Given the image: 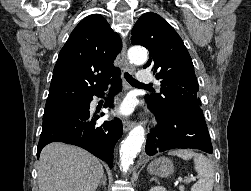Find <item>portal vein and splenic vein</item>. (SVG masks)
Segmentation results:
<instances>
[{
    "label": "portal vein and splenic vein",
    "instance_id": "1",
    "mask_svg": "<svg viewBox=\"0 0 251 191\" xmlns=\"http://www.w3.org/2000/svg\"><path fill=\"white\" fill-rule=\"evenodd\" d=\"M178 181H183V179H178ZM187 181H190V179H187ZM191 181H192V182H195V181H196V178H195V177H192V178H191ZM181 189H182V187H181Z\"/></svg>",
    "mask_w": 251,
    "mask_h": 191
}]
</instances>
